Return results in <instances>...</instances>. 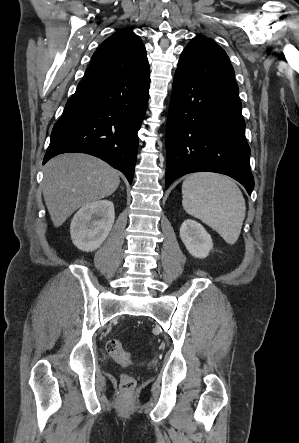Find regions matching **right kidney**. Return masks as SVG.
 I'll return each instance as SVG.
<instances>
[{
  "mask_svg": "<svg viewBox=\"0 0 299 443\" xmlns=\"http://www.w3.org/2000/svg\"><path fill=\"white\" fill-rule=\"evenodd\" d=\"M114 204L99 200L84 205L73 217L70 234L73 244L85 252L101 246L114 224Z\"/></svg>",
  "mask_w": 299,
  "mask_h": 443,
  "instance_id": "ca27d5eb",
  "label": "right kidney"
}]
</instances>
